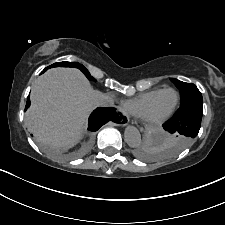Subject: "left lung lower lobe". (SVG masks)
<instances>
[{
  "label": "left lung lower lobe",
  "mask_w": 225,
  "mask_h": 225,
  "mask_svg": "<svg viewBox=\"0 0 225 225\" xmlns=\"http://www.w3.org/2000/svg\"><path fill=\"white\" fill-rule=\"evenodd\" d=\"M203 115V106H194L175 115L163 125L170 134H179L183 137L194 139L200 129ZM184 146V145H181Z\"/></svg>",
  "instance_id": "left-lung-lower-lobe-1"
}]
</instances>
